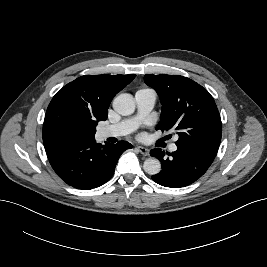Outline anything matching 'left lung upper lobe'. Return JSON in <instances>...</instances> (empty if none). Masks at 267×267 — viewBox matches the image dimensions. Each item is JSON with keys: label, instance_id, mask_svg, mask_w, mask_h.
Returning a JSON list of instances; mask_svg holds the SVG:
<instances>
[{"label": "left lung upper lobe", "instance_id": "left-lung-upper-lobe-1", "mask_svg": "<svg viewBox=\"0 0 267 267\" xmlns=\"http://www.w3.org/2000/svg\"><path fill=\"white\" fill-rule=\"evenodd\" d=\"M159 95L162 113L156 130H175L177 146L219 147L222 124L210 93L193 80L179 75L144 76Z\"/></svg>", "mask_w": 267, "mask_h": 267}]
</instances>
